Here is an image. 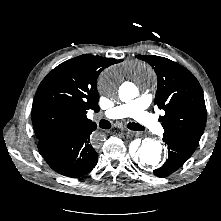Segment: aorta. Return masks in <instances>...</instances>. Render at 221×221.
Instances as JSON below:
<instances>
[{
  "label": "aorta",
  "mask_w": 221,
  "mask_h": 221,
  "mask_svg": "<svg viewBox=\"0 0 221 221\" xmlns=\"http://www.w3.org/2000/svg\"><path fill=\"white\" fill-rule=\"evenodd\" d=\"M118 71L105 72L100 79V88L106 95L112 96L115 92V81ZM138 91L135 87L130 90H119V97L122 101L128 102L137 97ZM163 146L159 141L146 139L141 142L138 149L133 150V158L144 168H154L161 164Z\"/></svg>",
  "instance_id": "obj_1"
}]
</instances>
